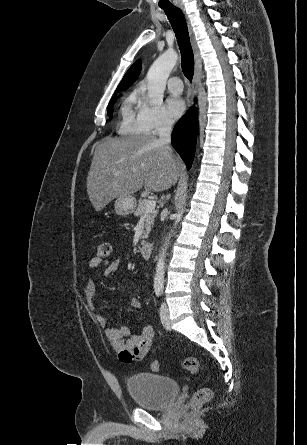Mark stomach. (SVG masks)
I'll return each mask as SVG.
<instances>
[{
  "instance_id": "0dacf381",
  "label": "stomach",
  "mask_w": 307,
  "mask_h": 445,
  "mask_svg": "<svg viewBox=\"0 0 307 445\" xmlns=\"http://www.w3.org/2000/svg\"><path fill=\"white\" fill-rule=\"evenodd\" d=\"M115 212L125 216V214H130L136 208V198L135 196H118L114 204Z\"/></svg>"
}]
</instances>
